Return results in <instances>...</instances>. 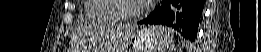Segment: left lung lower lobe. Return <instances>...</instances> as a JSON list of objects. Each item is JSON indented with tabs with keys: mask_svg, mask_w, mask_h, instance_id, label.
I'll list each match as a JSON object with an SVG mask.
<instances>
[{
	"mask_svg": "<svg viewBox=\"0 0 261 52\" xmlns=\"http://www.w3.org/2000/svg\"><path fill=\"white\" fill-rule=\"evenodd\" d=\"M205 0H163L141 24L172 27L185 39L194 41Z\"/></svg>",
	"mask_w": 261,
	"mask_h": 52,
	"instance_id": "1",
	"label": "left lung lower lobe"
}]
</instances>
